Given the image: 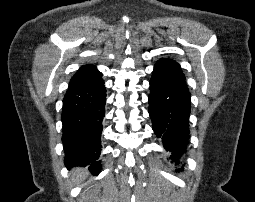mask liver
<instances>
[{"instance_id":"1","label":"liver","mask_w":255,"mask_h":202,"mask_svg":"<svg viewBox=\"0 0 255 202\" xmlns=\"http://www.w3.org/2000/svg\"><path fill=\"white\" fill-rule=\"evenodd\" d=\"M86 175L87 173L81 168H76L73 171V178L76 180V184L81 183L86 178Z\"/></svg>"}]
</instances>
